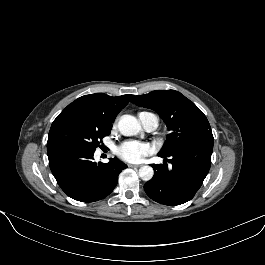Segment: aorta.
Returning <instances> with one entry per match:
<instances>
[{
    "label": "aorta",
    "mask_w": 265,
    "mask_h": 265,
    "mask_svg": "<svg viewBox=\"0 0 265 265\" xmlns=\"http://www.w3.org/2000/svg\"><path fill=\"white\" fill-rule=\"evenodd\" d=\"M118 130L124 136H135L142 131L140 123L132 115H123L118 122ZM154 175L151 166L145 165L140 167L139 176L144 181H149Z\"/></svg>",
    "instance_id": "1"
}]
</instances>
